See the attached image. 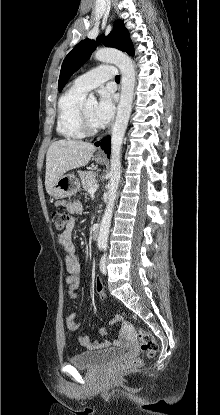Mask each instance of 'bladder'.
Masks as SVG:
<instances>
[{
  "label": "bladder",
  "instance_id": "31cf9c89",
  "mask_svg": "<svg viewBox=\"0 0 220 415\" xmlns=\"http://www.w3.org/2000/svg\"><path fill=\"white\" fill-rule=\"evenodd\" d=\"M124 348H111L101 351H81L70 358V363L77 368H94L122 358Z\"/></svg>",
  "mask_w": 220,
  "mask_h": 415
}]
</instances>
